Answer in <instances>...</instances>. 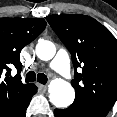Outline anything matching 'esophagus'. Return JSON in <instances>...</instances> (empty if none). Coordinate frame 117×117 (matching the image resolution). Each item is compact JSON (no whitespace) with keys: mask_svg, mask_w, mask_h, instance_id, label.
<instances>
[{"mask_svg":"<svg viewBox=\"0 0 117 117\" xmlns=\"http://www.w3.org/2000/svg\"><path fill=\"white\" fill-rule=\"evenodd\" d=\"M37 86H38V88H39V90L41 92H45L47 90V86L46 85H43V84H39L38 83Z\"/></svg>","mask_w":117,"mask_h":117,"instance_id":"obj_1","label":"esophagus"}]
</instances>
